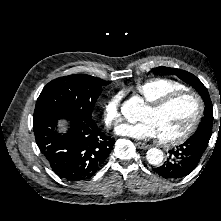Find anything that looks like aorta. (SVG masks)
<instances>
[{
    "mask_svg": "<svg viewBox=\"0 0 221 221\" xmlns=\"http://www.w3.org/2000/svg\"><path fill=\"white\" fill-rule=\"evenodd\" d=\"M140 106L141 104L138 101L131 99L123 104L121 112L128 121L133 122L137 117ZM146 159L151 165L158 166L162 163L164 154L160 149L150 148L146 153Z\"/></svg>",
    "mask_w": 221,
    "mask_h": 221,
    "instance_id": "aorta-1",
    "label": "aorta"
}]
</instances>
